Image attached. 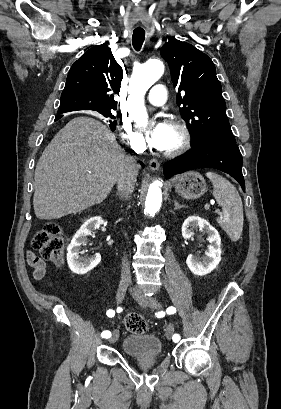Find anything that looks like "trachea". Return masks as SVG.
Listing matches in <instances>:
<instances>
[{
	"label": "trachea",
	"instance_id": "trachea-1",
	"mask_svg": "<svg viewBox=\"0 0 281 409\" xmlns=\"http://www.w3.org/2000/svg\"><path fill=\"white\" fill-rule=\"evenodd\" d=\"M144 40H145L144 31H141V32L134 31L133 32V35H132L133 47L137 52H139V50L141 49Z\"/></svg>",
	"mask_w": 281,
	"mask_h": 409
}]
</instances>
